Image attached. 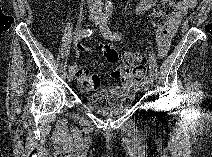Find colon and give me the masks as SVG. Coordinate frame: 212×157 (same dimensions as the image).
Here are the masks:
<instances>
[{"label": "colon", "mask_w": 212, "mask_h": 157, "mask_svg": "<svg viewBox=\"0 0 212 157\" xmlns=\"http://www.w3.org/2000/svg\"><path fill=\"white\" fill-rule=\"evenodd\" d=\"M176 5L175 0H160L155 3L154 9L149 16L150 23L156 28V38L159 41L164 35L163 28L167 17L170 16ZM102 52L106 60L111 64L118 62V53L111 45L102 46ZM143 56L138 51L127 50L121 54L120 67L113 72V77L120 78L123 83L142 78L146 72L141 64ZM99 78L97 75L87 71L80 70L77 74L76 87L80 92H87L97 88Z\"/></svg>", "instance_id": "5ec220e1"}]
</instances>
